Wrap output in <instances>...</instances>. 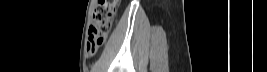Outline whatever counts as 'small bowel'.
Wrapping results in <instances>:
<instances>
[{
	"label": "small bowel",
	"mask_w": 267,
	"mask_h": 72,
	"mask_svg": "<svg viewBox=\"0 0 267 72\" xmlns=\"http://www.w3.org/2000/svg\"><path fill=\"white\" fill-rule=\"evenodd\" d=\"M87 53L89 54V55H93V54H95V52L97 51V48L95 49V50H91L90 49V46H89V43L87 42Z\"/></svg>",
	"instance_id": "small-bowel-1"
}]
</instances>
